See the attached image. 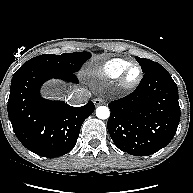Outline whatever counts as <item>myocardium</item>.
I'll return each instance as SVG.
<instances>
[{
  "mask_svg": "<svg viewBox=\"0 0 193 193\" xmlns=\"http://www.w3.org/2000/svg\"><path fill=\"white\" fill-rule=\"evenodd\" d=\"M133 68H137L139 70V74L136 79L129 80L128 75ZM142 78H143V70L141 66H139L138 64H130L119 76L118 85L122 90L125 91L132 90L139 85Z\"/></svg>",
  "mask_w": 193,
  "mask_h": 193,
  "instance_id": "obj_1",
  "label": "myocardium"
}]
</instances>
